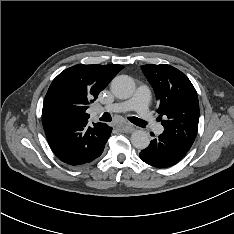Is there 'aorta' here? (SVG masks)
Segmentation results:
<instances>
[{
    "label": "aorta",
    "mask_w": 234,
    "mask_h": 234,
    "mask_svg": "<svg viewBox=\"0 0 234 234\" xmlns=\"http://www.w3.org/2000/svg\"><path fill=\"white\" fill-rule=\"evenodd\" d=\"M135 85L131 77L120 75L111 82V90L119 99H127L134 93ZM131 143L137 149H145L150 144V136L144 130H136L131 135Z\"/></svg>",
    "instance_id": "1"
}]
</instances>
